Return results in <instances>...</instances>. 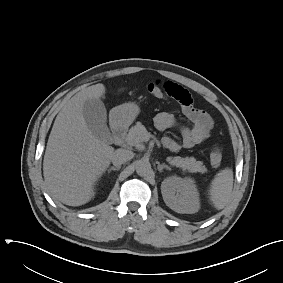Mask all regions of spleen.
I'll use <instances>...</instances> for the list:
<instances>
[{
	"mask_svg": "<svg viewBox=\"0 0 283 283\" xmlns=\"http://www.w3.org/2000/svg\"><path fill=\"white\" fill-rule=\"evenodd\" d=\"M233 171L225 168L219 171L210 185V200L218 210L223 209L231 199L233 189Z\"/></svg>",
	"mask_w": 283,
	"mask_h": 283,
	"instance_id": "spleen-1",
	"label": "spleen"
}]
</instances>
